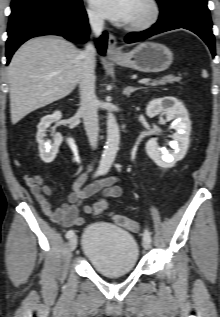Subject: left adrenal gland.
Instances as JSON below:
<instances>
[{
    "mask_svg": "<svg viewBox=\"0 0 220 317\" xmlns=\"http://www.w3.org/2000/svg\"><path fill=\"white\" fill-rule=\"evenodd\" d=\"M138 89H140V88H134L131 86H127L126 88H124L123 94L126 95L127 97H129L131 95V93H133L134 91H136Z\"/></svg>",
    "mask_w": 220,
    "mask_h": 317,
    "instance_id": "obj_1",
    "label": "left adrenal gland"
}]
</instances>
